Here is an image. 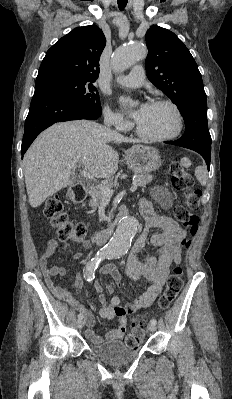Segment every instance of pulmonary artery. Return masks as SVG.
I'll return each instance as SVG.
<instances>
[{"label":"pulmonary artery","mask_w":232,"mask_h":399,"mask_svg":"<svg viewBox=\"0 0 232 399\" xmlns=\"http://www.w3.org/2000/svg\"><path fill=\"white\" fill-rule=\"evenodd\" d=\"M120 83L123 85L121 90H139L140 84H145V77H142L140 69H131L130 73H124L120 78Z\"/></svg>","instance_id":"pulmonary-artery-1"}]
</instances>
